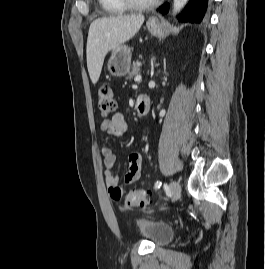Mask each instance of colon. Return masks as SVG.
<instances>
[{"instance_id": "1", "label": "colon", "mask_w": 265, "mask_h": 269, "mask_svg": "<svg viewBox=\"0 0 265 269\" xmlns=\"http://www.w3.org/2000/svg\"><path fill=\"white\" fill-rule=\"evenodd\" d=\"M98 109L99 113L106 117L113 114L116 110V101L113 89L110 84H103L98 91ZM112 198L116 200H123L127 205L130 206H146L151 196L148 192L134 189L128 192H123L118 186H113L109 190Z\"/></svg>"}]
</instances>
